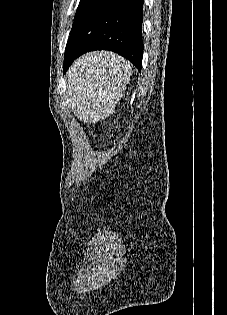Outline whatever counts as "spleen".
Masks as SVG:
<instances>
[{
  "label": "spleen",
  "mask_w": 227,
  "mask_h": 315,
  "mask_svg": "<svg viewBox=\"0 0 227 315\" xmlns=\"http://www.w3.org/2000/svg\"><path fill=\"white\" fill-rule=\"evenodd\" d=\"M130 75V64L111 53H91L78 59L67 80V93L76 116L88 123L109 116L122 97Z\"/></svg>",
  "instance_id": "spleen-1"
}]
</instances>
